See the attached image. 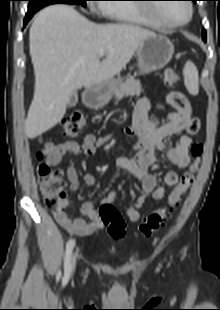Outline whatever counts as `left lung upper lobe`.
<instances>
[{
  "instance_id": "5c2ea615",
  "label": "left lung upper lobe",
  "mask_w": 220,
  "mask_h": 310,
  "mask_svg": "<svg viewBox=\"0 0 220 310\" xmlns=\"http://www.w3.org/2000/svg\"><path fill=\"white\" fill-rule=\"evenodd\" d=\"M194 3H196L197 0H192ZM202 36H203V40L206 41V31L203 29L202 30Z\"/></svg>"
}]
</instances>
